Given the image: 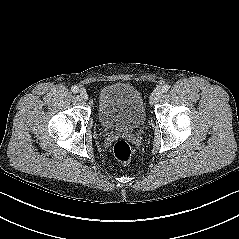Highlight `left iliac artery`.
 I'll use <instances>...</instances> for the list:
<instances>
[{
  "instance_id": "44dca946",
  "label": "left iliac artery",
  "mask_w": 239,
  "mask_h": 239,
  "mask_svg": "<svg viewBox=\"0 0 239 239\" xmlns=\"http://www.w3.org/2000/svg\"><path fill=\"white\" fill-rule=\"evenodd\" d=\"M170 89V86L165 84L163 87H162V91L163 92H167L168 90Z\"/></svg>"
}]
</instances>
